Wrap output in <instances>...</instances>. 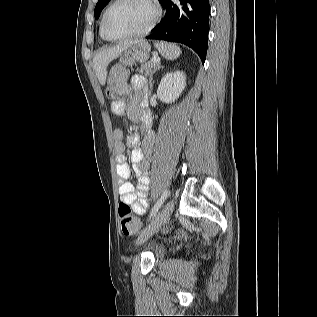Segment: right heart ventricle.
Listing matches in <instances>:
<instances>
[{
  "label": "right heart ventricle",
  "mask_w": 317,
  "mask_h": 317,
  "mask_svg": "<svg viewBox=\"0 0 317 317\" xmlns=\"http://www.w3.org/2000/svg\"><path fill=\"white\" fill-rule=\"evenodd\" d=\"M99 34H100V37L105 40V37L103 36V33H102V20L100 23Z\"/></svg>",
  "instance_id": "obj_1"
}]
</instances>
